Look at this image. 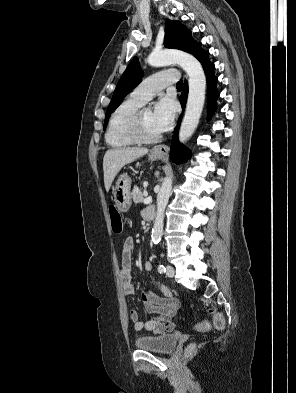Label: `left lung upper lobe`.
Instances as JSON below:
<instances>
[{
  "mask_svg": "<svg viewBox=\"0 0 296 393\" xmlns=\"http://www.w3.org/2000/svg\"><path fill=\"white\" fill-rule=\"evenodd\" d=\"M165 46L167 48H175L186 51L194 55L198 60L208 52L201 49L200 43L193 40L191 32L179 21H166ZM141 78L142 70L140 68L138 58L135 57L128 65L116 86L113 97L106 111L104 129L110 114L120 105L127 93L140 83Z\"/></svg>",
  "mask_w": 296,
  "mask_h": 393,
  "instance_id": "obj_1",
  "label": "left lung upper lobe"
}]
</instances>
